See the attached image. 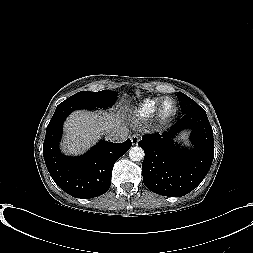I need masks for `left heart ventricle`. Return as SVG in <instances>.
<instances>
[{"mask_svg":"<svg viewBox=\"0 0 253 253\" xmlns=\"http://www.w3.org/2000/svg\"><path fill=\"white\" fill-rule=\"evenodd\" d=\"M174 109V104L172 101H166L163 105V112L165 114H170Z\"/></svg>","mask_w":253,"mask_h":253,"instance_id":"b2bd125f","label":"left heart ventricle"}]
</instances>
